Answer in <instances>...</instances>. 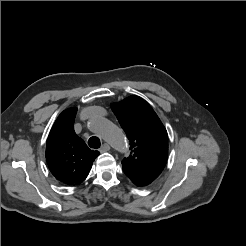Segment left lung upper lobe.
I'll use <instances>...</instances> for the list:
<instances>
[{
    "instance_id": "5c2ea615",
    "label": "left lung upper lobe",
    "mask_w": 246,
    "mask_h": 246,
    "mask_svg": "<svg viewBox=\"0 0 246 246\" xmlns=\"http://www.w3.org/2000/svg\"><path fill=\"white\" fill-rule=\"evenodd\" d=\"M126 132L131 154L122 161L126 175L153 182L162 172L168 156V135L151 106L139 96L111 105Z\"/></svg>"
}]
</instances>
